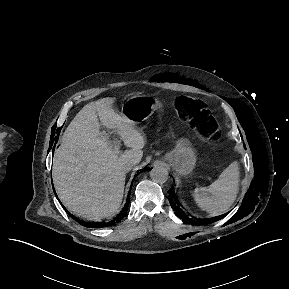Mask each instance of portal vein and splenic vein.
Returning a JSON list of instances; mask_svg holds the SVG:
<instances>
[{
	"label": "portal vein and splenic vein",
	"instance_id": "1",
	"mask_svg": "<svg viewBox=\"0 0 289 289\" xmlns=\"http://www.w3.org/2000/svg\"><path fill=\"white\" fill-rule=\"evenodd\" d=\"M119 149H120L119 145L116 144V145L114 146V151H115L116 153H119Z\"/></svg>",
	"mask_w": 289,
	"mask_h": 289
}]
</instances>
